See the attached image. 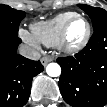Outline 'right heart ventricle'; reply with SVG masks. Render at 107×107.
Returning a JSON list of instances; mask_svg holds the SVG:
<instances>
[{
	"instance_id": "e07e8e85",
	"label": "right heart ventricle",
	"mask_w": 107,
	"mask_h": 107,
	"mask_svg": "<svg viewBox=\"0 0 107 107\" xmlns=\"http://www.w3.org/2000/svg\"><path fill=\"white\" fill-rule=\"evenodd\" d=\"M75 14V12H64L51 19L35 22L31 25V33L39 43L54 46L57 44L65 24Z\"/></svg>"
}]
</instances>
